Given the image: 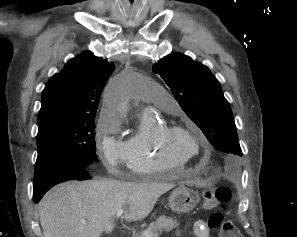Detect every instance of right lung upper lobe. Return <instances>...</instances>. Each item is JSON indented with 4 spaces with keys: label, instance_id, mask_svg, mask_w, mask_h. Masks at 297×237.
<instances>
[{
    "label": "right lung upper lobe",
    "instance_id": "cb5924a9",
    "mask_svg": "<svg viewBox=\"0 0 297 237\" xmlns=\"http://www.w3.org/2000/svg\"><path fill=\"white\" fill-rule=\"evenodd\" d=\"M114 69V63L93 53L76 56L42 91L38 123L56 117H95L103 87Z\"/></svg>",
    "mask_w": 297,
    "mask_h": 237
}]
</instances>
